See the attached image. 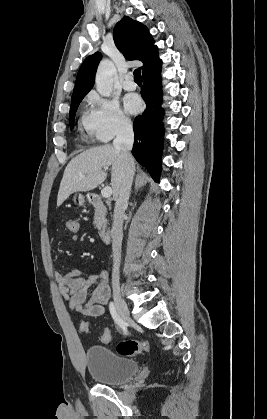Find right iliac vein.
I'll return each instance as SVG.
<instances>
[{"label": "right iliac vein", "instance_id": "63e3f726", "mask_svg": "<svg viewBox=\"0 0 267 419\" xmlns=\"http://www.w3.org/2000/svg\"><path fill=\"white\" fill-rule=\"evenodd\" d=\"M114 302H115L116 309L120 317L122 318V320L126 323H129L131 319H130V313H129L127 304L122 299L121 295L118 292L114 294Z\"/></svg>", "mask_w": 267, "mask_h": 419}]
</instances>
